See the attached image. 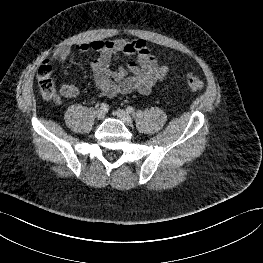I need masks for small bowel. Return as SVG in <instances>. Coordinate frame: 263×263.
Masks as SVG:
<instances>
[{"label": "small bowel", "mask_w": 263, "mask_h": 263, "mask_svg": "<svg viewBox=\"0 0 263 263\" xmlns=\"http://www.w3.org/2000/svg\"><path fill=\"white\" fill-rule=\"evenodd\" d=\"M75 50L80 53L91 50L98 52V57L91 61L90 66L95 85L102 97H114L132 92L149 94L157 83L167 77L169 71L167 65L158 62L143 39L94 40L76 45ZM71 53V46H63L53 53L51 61L64 62ZM122 55L130 58L127 66L111 69V65ZM79 93L78 86L64 84L54 96V101L59 104L65 98L77 97Z\"/></svg>", "instance_id": "1"}]
</instances>
